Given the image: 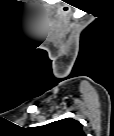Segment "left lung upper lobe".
<instances>
[{"label": "left lung upper lobe", "instance_id": "obj_1", "mask_svg": "<svg viewBox=\"0 0 114 136\" xmlns=\"http://www.w3.org/2000/svg\"><path fill=\"white\" fill-rule=\"evenodd\" d=\"M39 136H83L82 124L73 119L65 118L44 126L36 127Z\"/></svg>", "mask_w": 114, "mask_h": 136}]
</instances>
